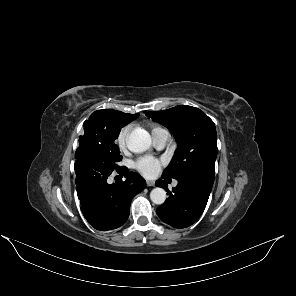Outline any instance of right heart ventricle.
<instances>
[{
    "instance_id": "e07e8e85",
    "label": "right heart ventricle",
    "mask_w": 296,
    "mask_h": 296,
    "mask_svg": "<svg viewBox=\"0 0 296 296\" xmlns=\"http://www.w3.org/2000/svg\"><path fill=\"white\" fill-rule=\"evenodd\" d=\"M149 127H150V130H151L152 136L155 135V134H157V133H159L162 130H165L164 128H162L158 124H150Z\"/></svg>"
}]
</instances>
